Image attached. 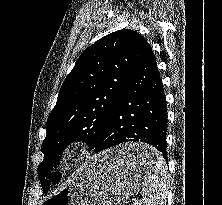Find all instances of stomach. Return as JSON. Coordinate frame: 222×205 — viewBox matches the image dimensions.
Here are the masks:
<instances>
[{
  "label": "stomach",
  "mask_w": 222,
  "mask_h": 205,
  "mask_svg": "<svg viewBox=\"0 0 222 205\" xmlns=\"http://www.w3.org/2000/svg\"><path fill=\"white\" fill-rule=\"evenodd\" d=\"M136 152L157 151L146 144L130 143L89 158L68 184L43 197L40 205H117L131 196L147 180L150 165H136Z\"/></svg>",
  "instance_id": "1"
}]
</instances>
